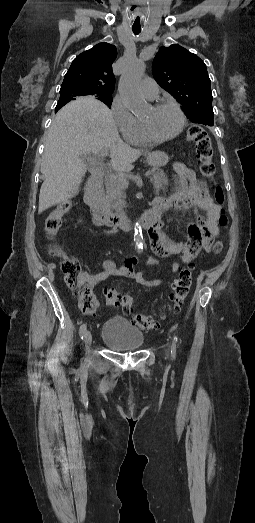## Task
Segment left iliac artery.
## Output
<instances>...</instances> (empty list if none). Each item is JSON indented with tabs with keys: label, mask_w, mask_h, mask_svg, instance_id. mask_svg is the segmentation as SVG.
Here are the masks:
<instances>
[{
	"label": "left iliac artery",
	"mask_w": 255,
	"mask_h": 523,
	"mask_svg": "<svg viewBox=\"0 0 255 523\" xmlns=\"http://www.w3.org/2000/svg\"><path fill=\"white\" fill-rule=\"evenodd\" d=\"M173 343H174V345H176L178 343V337L176 335L173 338Z\"/></svg>",
	"instance_id": "44dca946"
}]
</instances>
